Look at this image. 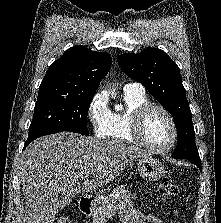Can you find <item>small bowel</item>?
Masks as SVG:
<instances>
[{"instance_id": "c3829d8e", "label": "small bowel", "mask_w": 221, "mask_h": 223, "mask_svg": "<svg viewBox=\"0 0 221 223\" xmlns=\"http://www.w3.org/2000/svg\"><path fill=\"white\" fill-rule=\"evenodd\" d=\"M123 223H164L159 217L148 214L145 215L135 208H128L121 214Z\"/></svg>"}]
</instances>
